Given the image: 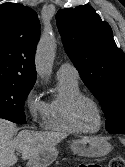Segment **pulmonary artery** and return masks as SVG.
<instances>
[{
    "label": "pulmonary artery",
    "mask_w": 125,
    "mask_h": 167,
    "mask_svg": "<svg viewBox=\"0 0 125 167\" xmlns=\"http://www.w3.org/2000/svg\"><path fill=\"white\" fill-rule=\"evenodd\" d=\"M57 78L58 79L78 80L79 73L73 64L63 63L59 66L57 70Z\"/></svg>",
    "instance_id": "pulmonary-artery-1"
}]
</instances>
